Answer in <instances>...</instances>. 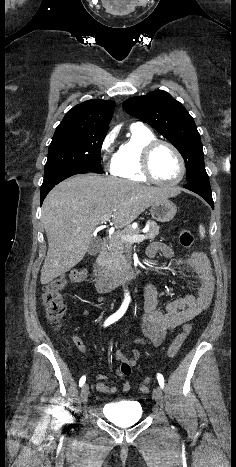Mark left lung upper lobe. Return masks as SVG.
Listing matches in <instances>:
<instances>
[{
  "label": "left lung upper lobe",
  "mask_w": 236,
  "mask_h": 467,
  "mask_svg": "<svg viewBox=\"0 0 236 467\" xmlns=\"http://www.w3.org/2000/svg\"><path fill=\"white\" fill-rule=\"evenodd\" d=\"M123 109L156 129L181 153L187 182L209 179L204 165L200 134L184 106L169 93L157 90L127 99Z\"/></svg>",
  "instance_id": "left-lung-upper-lobe-1"
}]
</instances>
